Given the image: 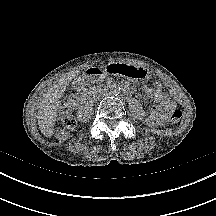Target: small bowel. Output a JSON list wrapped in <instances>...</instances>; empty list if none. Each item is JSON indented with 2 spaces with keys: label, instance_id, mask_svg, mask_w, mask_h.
<instances>
[{
  "label": "small bowel",
  "instance_id": "small-bowel-1",
  "mask_svg": "<svg viewBox=\"0 0 216 216\" xmlns=\"http://www.w3.org/2000/svg\"><path fill=\"white\" fill-rule=\"evenodd\" d=\"M144 91L156 103L150 109L149 116L146 120L147 124L149 126H156L167 122L176 107L175 102L163 92L159 82H155L153 86L145 87Z\"/></svg>",
  "mask_w": 216,
  "mask_h": 216
}]
</instances>
